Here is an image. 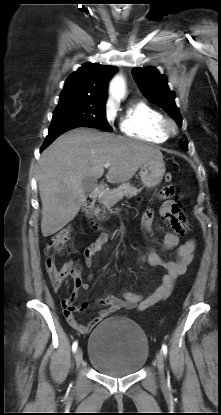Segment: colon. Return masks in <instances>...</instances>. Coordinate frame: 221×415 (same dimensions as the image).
<instances>
[{
    "instance_id": "colon-1",
    "label": "colon",
    "mask_w": 221,
    "mask_h": 415,
    "mask_svg": "<svg viewBox=\"0 0 221 415\" xmlns=\"http://www.w3.org/2000/svg\"><path fill=\"white\" fill-rule=\"evenodd\" d=\"M165 181L168 183L172 181L171 173L165 175ZM70 234L71 228L65 227L55 233L50 238L47 245L46 271L54 290H58L68 277L74 279L75 285L80 282L79 270L73 262H67L60 268L57 267L54 262V253L69 239Z\"/></svg>"
}]
</instances>
